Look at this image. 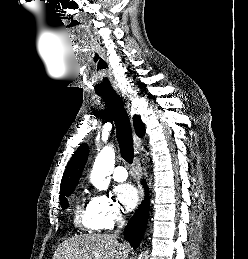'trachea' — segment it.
Instances as JSON below:
<instances>
[{
	"label": "trachea",
	"mask_w": 248,
	"mask_h": 259,
	"mask_svg": "<svg viewBox=\"0 0 248 259\" xmlns=\"http://www.w3.org/2000/svg\"><path fill=\"white\" fill-rule=\"evenodd\" d=\"M98 95L104 99L115 122L121 156L126 162L131 164L133 163L134 157L132 130L129 117L123 106L122 100L114 91Z\"/></svg>",
	"instance_id": "3493384b"
}]
</instances>
